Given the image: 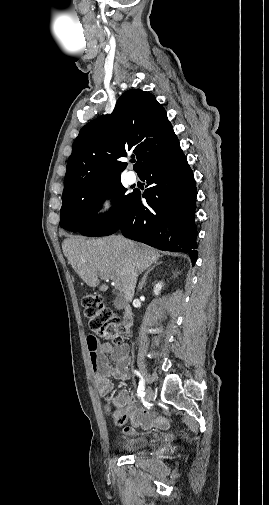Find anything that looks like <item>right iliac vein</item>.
I'll return each mask as SVG.
<instances>
[{"label":"right iliac vein","instance_id":"1","mask_svg":"<svg viewBox=\"0 0 269 505\" xmlns=\"http://www.w3.org/2000/svg\"><path fill=\"white\" fill-rule=\"evenodd\" d=\"M153 397H154L153 390L150 387H147L145 391V399L147 401H152Z\"/></svg>","mask_w":269,"mask_h":505}]
</instances>
